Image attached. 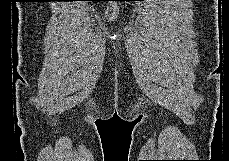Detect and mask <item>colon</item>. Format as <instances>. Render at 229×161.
Masks as SVG:
<instances>
[{
	"instance_id": "obj_1",
	"label": "colon",
	"mask_w": 229,
	"mask_h": 161,
	"mask_svg": "<svg viewBox=\"0 0 229 161\" xmlns=\"http://www.w3.org/2000/svg\"><path fill=\"white\" fill-rule=\"evenodd\" d=\"M119 8L116 4H110L105 10V18L108 20H113L117 17Z\"/></svg>"
}]
</instances>
